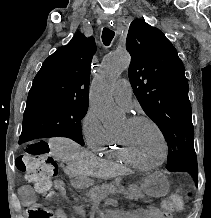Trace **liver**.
<instances>
[{
	"label": "liver",
	"instance_id": "obj_1",
	"mask_svg": "<svg viewBox=\"0 0 211 218\" xmlns=\"http://www.w3.org/2000/svg\"><path fill=\"white\" fill-rule=\"evenodd\" d=\"M52 156L61 158L62 162H67V174L69 176H123L124 170L118 164H109L105 160H100L95 154L85 152L76 142L69 138H52L49 142Z\"/></svg>",
	"mask_w": 211,
	"mask_h": 218
}]
</instances>
